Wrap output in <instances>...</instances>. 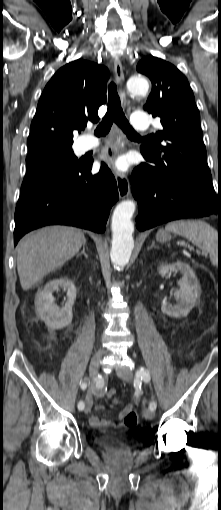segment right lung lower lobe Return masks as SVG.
I'll list each match as a JSON object with an SVG mask.
<instances>
[{
  "mask_svg": "<svg viewBox=\"0 0 221 510\" xmlns=\"http://www.w3.org/2000/svg\"><path fill=\"white\" fill-rule=\"evenodd\" d=\"M92 162L83 161L71 177L36 183L21 194L15 211V245L24 234L45 225L104 232L110 209L119 198L117 183L105 163L92 175Z\"/></svg>",
  "mask_w": 221,
  "mask_h": 510,
  "instance_id": "1",
  "label": "right lung lower lobe"
}]
</instances>
